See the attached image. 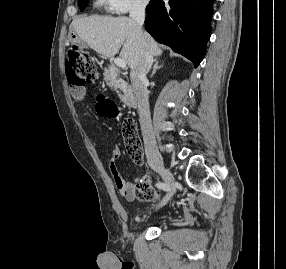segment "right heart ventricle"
Listing matches in <instances>:
<instances>
[{
  "label": "right heart ventricle",
  "instance_id": "1",
  "mask_svg": "<svg viewBox=\"0 0 286 269\" xmlns=\"http://www.w3.org/2000/svg\"><path fill=\"white\" fill-rule=\"evenodd\" d=\"M95 4L98 6V7H104L107 5V1L106 0H96Z\"/></svg>",
  "mask_w": 286,
  "mask_h": 269
}]
</instances>
